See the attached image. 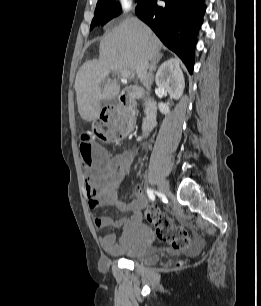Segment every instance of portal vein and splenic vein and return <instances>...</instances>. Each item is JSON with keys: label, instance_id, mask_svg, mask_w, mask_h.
Masks as SVG:
<instances>
[{"label": "portal vein and splenic vein", "instance_id": "obj_1", "mask_svg": "<svg viewBox=\"0 0 261 306\" xmlns=\"http://www.w3.org/2000/svg\"><path fill=\"white\" fill-rule=\"evenodd\" d=\"M120 76L122 79L127 80L128 78H130L131 73L128 70H124L121 72Z\"/></svg>", "mask_w": 261, "mask_h": 306}]
</instances>
